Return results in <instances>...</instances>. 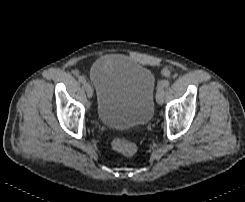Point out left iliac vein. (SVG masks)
I'll use <instances>...</instances> for the list:
<instances>
[{"instance_id": "left-iliac-vein-1", "label": "left iliac vein", "mask_w": 245, "mask_h": 202, "mask_svg": "<svg viewBox=\"0 0 245 202\" xmlns=\"http://www.w3.org/2000/svg\"><path fill=\"white\" fill-rule=\"evenodd\" d=\"M164 94H165V90L164 88H160L158 91H157V94H156V101L158 104H162L163 103V100H164Z\"/></svg>"}]
</instances>
